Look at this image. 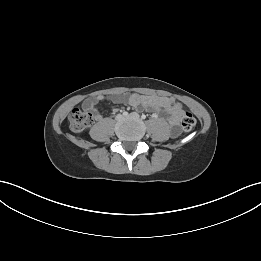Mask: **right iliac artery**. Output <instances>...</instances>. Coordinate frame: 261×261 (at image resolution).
Segmentation results:
<instances>
[{"label":"right iliac artery","instance_id":"1","mask_svg":"<svg viewBox=\"0 0 261 261\" xmlns=\"http://www.w3.org/2000/svg\"><path fill=\"white\" fill-rule=\"evenodd\" d=\"M123 115H124V116H128V112L124 111V112H123Z\"/></svg>","mask_w":261,"mask_h":261}]
</instances>
